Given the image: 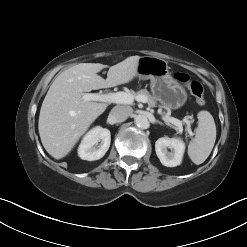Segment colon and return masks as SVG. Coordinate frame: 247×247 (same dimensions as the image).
<instances>
[{
  "label": "colon",
  "instance_id": "5ec220e1",
  "mask_svg": "<svg viewBox=\"0 0 247 247\" xmlns=\"http://www.w3.org/2000/svg\"><path fill=\"white\" fill-rule=\"evenodd\" d=\"M175 78L190 91L199 105L202 106L205 104L204 88L200 82L192 80L185 73H177Z\"/></svg>",
  "mask_w": 247,
  "mask_h": 247
}]
</instances>
